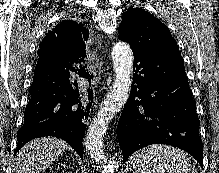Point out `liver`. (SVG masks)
I'll return each instance as SVG.
<instances>
[{
    "label": "liver",
    "instance_id": "6515ba94",
    "mask_svg": "<svg viewBox=\"0 0 219 173\" xmlns=\"http://www.w3.org/2000/svg\"><path fill=\"white\" fill-rule=\"evenodd\" d=\"M68 149L69 145L61 139L42 137L33 140L18 152L13 173H39Z\"/></svg>",
    "mask_w": 219,
    "mask_h": 173
}]
</instances>
